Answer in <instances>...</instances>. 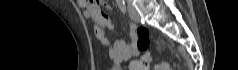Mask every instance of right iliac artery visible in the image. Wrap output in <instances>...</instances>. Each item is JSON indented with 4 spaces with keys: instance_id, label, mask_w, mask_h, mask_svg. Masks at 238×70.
Wrapping results in <instances>:
<instances>
[{
    "instance_id": "obj_1",
    "label": "right iliac artery",
    "mask_w": 238,
    "mask_h": 70,
    "mask_svg": "<svg viewBox=\"0 0 238 70\" xmlns=\"http://www.w3.org/2000/svg\"><path fill=\"white\" fill-rule=\"evenodd\" d=\"M117 4H118L120 10H121L123 13H125L126 7H125V2H124V0H117Z\"/></svg>"
}]
</instances>
